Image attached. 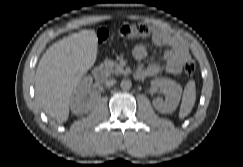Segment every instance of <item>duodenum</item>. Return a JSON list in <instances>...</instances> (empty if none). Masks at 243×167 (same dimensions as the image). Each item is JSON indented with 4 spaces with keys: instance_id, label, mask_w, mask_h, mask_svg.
<instances>
[{
    "instance_id": "obj_1",
    "label": "duodenum",
    "mask_w": 243,
    "mask_h": 167,
    "mask_svg": "<svg viewBox=\"0 0 243 167\" xmlns=\"http://www.w3.org/2000/svg\"><path fill=\"white\" fill-rule=\"evenodd\" d=\"M92 75L94 77V79L98 82H101L104 79V70L102 67L100 66H96L93 69Z\"/></svg>"
}]
</instances>
